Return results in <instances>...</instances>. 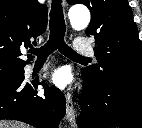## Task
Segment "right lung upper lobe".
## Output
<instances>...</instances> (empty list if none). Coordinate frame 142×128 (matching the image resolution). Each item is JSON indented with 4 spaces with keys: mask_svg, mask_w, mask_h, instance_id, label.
Here are the masks:
<instances>
[{
    "mask_svg": "<svg viewBox=\"0 0 142 128\" xmlns=\"http://www.w3.org/2000/svg\"><path fill=\"white\" fill-rule=\"evenodd\" d=\"M47 13L37 0H0V71L25 67L20 49L46 30Z\"/></svg>",
    "mask_w": 142,
    "mask_h": 128,
    "instance_id": "cb5924a9",
    "label": "right lung upper lobe"
}]
</instances>
